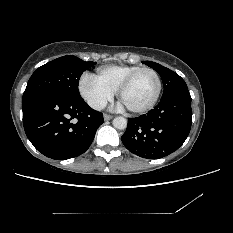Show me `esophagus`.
<instances>
[{"mask_svg":"<svg viewBox=\"0 0 233 233\" xmlns=\"http://www.w3.org/2000/svg\"><path fill=\"white\" fill-rule=\"evenodd\" d=\"M112 118H113L112 115H108V114H105V115H104V120H105V121L111 120Z\"/></svg>","mask_w":233,"mask_h":233,"instance_id":"34e87169","label":"esophagus"}]
</instances>
